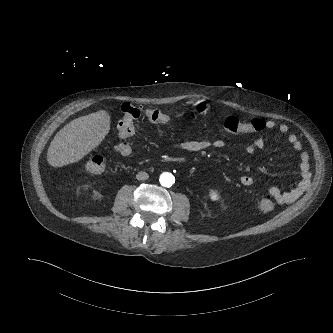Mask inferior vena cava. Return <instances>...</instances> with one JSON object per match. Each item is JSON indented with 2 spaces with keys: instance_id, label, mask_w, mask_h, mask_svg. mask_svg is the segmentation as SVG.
I'll return each instance as SVG.
<instances>
[{
  "instance_id": "obj_1",
  "label": "inferior vena cava",
  "mask_w": 333,
  "mask_h": 333,
  "mask_svg": "<svg viewBox=\"0 0 333 333\" xmlns=\"http://www.w3.org/2000/svg\"><path fill=\"white\" fill-rule=\"evenodd\" d=\"M136 178L138 180L144 181V180H147L149 178V175L144 171H140V172L137 173Z\"/></svg>"
}]
</instances>
